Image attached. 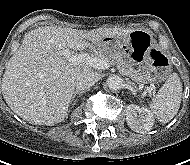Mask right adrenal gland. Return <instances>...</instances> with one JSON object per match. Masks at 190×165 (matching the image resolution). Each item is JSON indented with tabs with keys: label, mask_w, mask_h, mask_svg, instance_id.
<instances>
[{
	"label": "right adrenal gland",
	"mask_w": 190,
	"mask_h": 165,
	"mask_svg": "<svg viewBox=\"0 0 190 165\" xmlns=\"http://www.w3.org/2000/svg\"><path fill=\"white\" fill-rule=\"evenodd\" d=\"M84 93V91H79V90H76L74 91V94L72 96V101L74 100V98L76 97V95H82ZM77 103V100H75L73 103H72V107H74Z\"/></svg>",
	"instance_id": "right-adrenal-gland-1"
}]
</instances>
